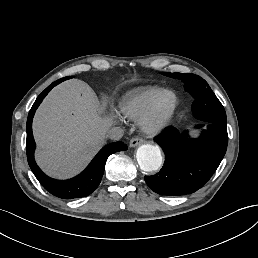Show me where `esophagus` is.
Here are the masks:
<instances>
[{
	"instance_id": "1",
	"label": "esophagus",
	"mask_w": 258,
	"mask_h": 258,
	"mask_svg": "<svg viewBox=\"0 0 258 258\" xmlns=\"http://www.w3.org/2000/svg\"><path fill=\"white\" fill-rule=\"evenodd\" d=\"M144 143V140L142 138L139 137H134L130 140V147H136L138 145H141Z\"/></svg>"
}]
</instances>
